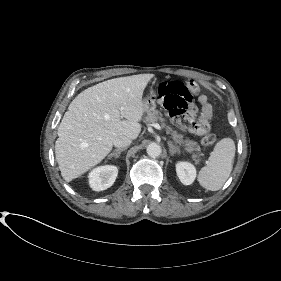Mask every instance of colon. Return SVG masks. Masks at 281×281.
<instances>
[{
  "instance_id": "5ec220e1",
  "label": "colon",
  "mask_w": 281,
  "mask_h": 281,
  "mask_svg": "<svg viewBox=\"0 0 281 281\" xmlns=\"http://www.w3.org/2000/svg\"><path fill=\"white\" fill-rule=\"evenodd\" d=\"M199 91L200 88L194 81H188L186 83L178 81L163 82L158 88V94L169 116L178 120L180 125L185 127L192 125L189 116L186 115V111ZM217 141V135L209 133L203 137L202 144L212 147Z\"/></svg>"
}]
</instances>
